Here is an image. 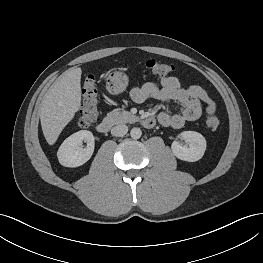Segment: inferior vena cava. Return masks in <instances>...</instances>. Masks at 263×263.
Returning a JSON list of instances; mask_svg holds the SVG:
<instances>
[{
  "mask_svg": "<svg viewBox=\"0 0 263 263\" xmlns=\"http://www.w3.org/2000/svg\"><path fill=\"white\" fill-rule=\"evenodd\" d=\"M128 132V127L126 125L120 124L116 125L111 129V134L113 136H124Z\"/></svg>",
  "mask_w": 263,
  "mask_h": 263,
  "instance_id": "1",
  "label": "inferior vena cava"
}]
</instances>
